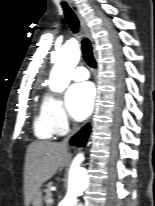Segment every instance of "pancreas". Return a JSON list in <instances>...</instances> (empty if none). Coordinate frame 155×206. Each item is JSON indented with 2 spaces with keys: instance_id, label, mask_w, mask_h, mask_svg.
I'll return each mask as SVG.
<instances>
[{
  "instance_id": "pancreas-1",
  "label": "pancreas",
  "mask_w": 155,
  "mask_h": 206,
  "mask_svg": "<svg viewBox=\"0 0 155 206\" xmlns=\"http://www.w3.org/2000/svg\"><path fill=\"white\" fill-rule=\"evenodd\" d=\"M52 183H48L46 185V189L44 190L45 196L44 199L46 201L47 206H51L52 205V193H51V188Z\"/></svg>"
}]
</instances>
